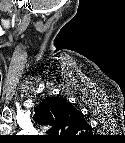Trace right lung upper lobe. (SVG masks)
<instances>
[{
    "label": "right lung upper lobe",
    "instance_id": "cb5924a9",
    "mask_svg": "<svg viewBox=\"0 0 125 143\" xmlns=\"http://www.w3.org/2000/svg\"><path fill=\"white\" fill-rule=\"evenodd\" d=\"M35 110L33 118L40 124L51 125L50 133L75 136L91 132L84 115L63 99L48 97Z\"/></svg>",
    "mask_w": 125,
    "mask_h": 143
}]
</instances>
